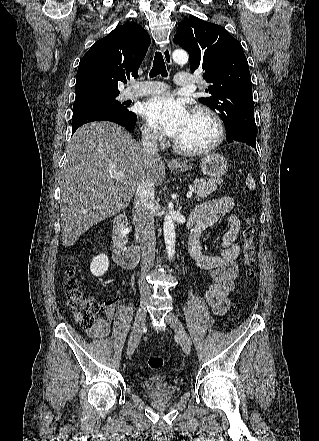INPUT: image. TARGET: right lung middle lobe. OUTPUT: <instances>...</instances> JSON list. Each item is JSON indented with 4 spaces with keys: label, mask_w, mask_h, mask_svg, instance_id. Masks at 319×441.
<instances>
[{
    "label": "right lung middle lobe",
    "mask_w": 319,
    "mask_h": 441,
    "mask_svg": "<svg viewBox=\"0 0 319 441\" xmlns=\"http://www.w3.org/2000/svg\"><path fill=\"white\" fill-rule=\"evenodd\" d=\"M117 96L118 95L75 100L72 120L92 113H113L121 118L130 120L135 114L129 111L124 103H120L116 99Z\"/></svg>",
    "instance_id": "obj_1"
}]
</instances>
